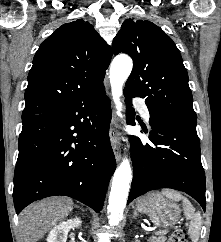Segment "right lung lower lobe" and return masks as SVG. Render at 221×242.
<instances>
[{"instance_id": "1", "label": "right lung lower lobe", "mask_w": 221, "mask_h": 242, "mask_svg": "<svg viewBox=\"0 0 221 242\" xmlns=\"http://www.w3.org/2000/svg\"><path fill=\"white\" fill-rule=\"evenodd\" d=\"M110 121L103 84L64 108L23 118L14 175L16 213L55 195L100 212L116 168Z\"/></svg>"}]
</instances>
